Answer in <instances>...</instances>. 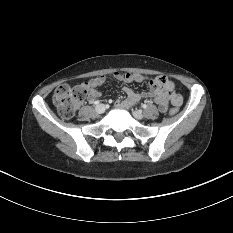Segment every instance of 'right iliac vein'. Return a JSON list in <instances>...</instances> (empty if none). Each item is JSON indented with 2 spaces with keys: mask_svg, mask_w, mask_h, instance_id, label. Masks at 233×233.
Segmentation results:
<instances>
[{
  "mask_svg": "<svg viewBox=\"0 0 233 233\" xmlns=\"http://www.w3.org/2000/svg\"><path fill=\"white\" fill-rule=\"evenodd\" d=\"M105 106L103 104H99L95 107L97 113L101 114L105 112Z\"/></svg>",
  "mask_w": 233,
  "mask_h": 233,
  "instance_id": "1",
  "label": "right iliac vein"
}]
</instances>
